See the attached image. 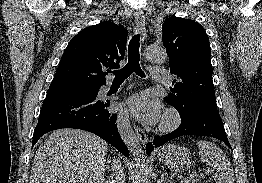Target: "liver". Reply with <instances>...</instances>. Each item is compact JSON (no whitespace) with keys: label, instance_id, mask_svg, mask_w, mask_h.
<instances>
[{"label":"liver","instance_id":"obj_1","mask_svg":"<svg viewBox=\"0 0 262 183\" xmlns=\"http://www.w3.org/2000/svg\"><path fill=\"white\" fill-rule=\"evenodd\" d=\"M107 150L92 133L56 130L37 149L29 183H104Z\"/></svg>","mask_w":262,"mask_h":183}]
</instances>
